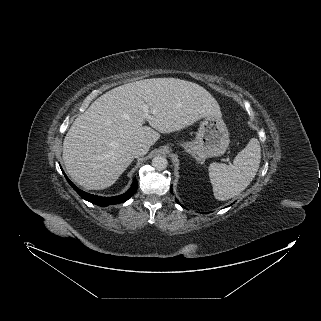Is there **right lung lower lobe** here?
I'll return each mask as SVG.
<instances>
[{
  "label": "right lung lower lobe",
  "instance_id": "obj_1",
  "mask_svg": "<svg viewBox=\"0 0 321 321\" xmlns=\"http://www.w3.org/2000/svg\"><path fill=\"white\" fill-rule=\"evenodd\" d=\"M63 172V170H62ZM63 174L65 175V178L67 179L68 183L71 185V187L85 200L96 204L98 206L101 207H105L108 205H112V204H118V203H122L125 202L126 200H128L130 197H132L136 190H137V180L136 178H134L132 186L130 187V189L119 196H114V197H101V196H97V195H93L87 192H84L82 190H80L79 188H77L66 176V174L63 172Z\"/></svg>",
  "mask_w": 321,
  "mask_h": 321
}]
</instances>
